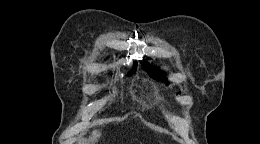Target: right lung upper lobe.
Returning <instances> with one entry per match:
<instances>
[{
  "mask_svg": "<svg viewBox=\"0 0 260 144\" xmlns=\"http://www.w3.org/2000/svg\"><path fill=\"white\" fill-rule=\"evenodd\" d=\"M137 66V64H136V62H135V64H134V68ZM134 71V70H133Z\"/></svg>",
  "mask_w": 260,
  "mask_h": 144,
  "instance_id": "obj_1",
  "label": "right lung upper lobe"
}]
</instances>
